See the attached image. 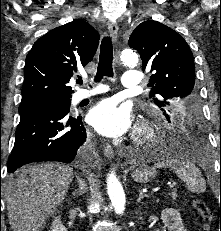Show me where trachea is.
<instances>
[{
    "instance_id": "trachea-1",
    "label": "trachea",
    "mask_w": 221,
    "mask_h": 231,
    "mask_svg": "<svg viewBox=\"0 0 221 231\" xmlns=\"http://www.w3.org/2000/svg\"><path fill=\"white\" fill-rule=\"evenodd\" d=\"M113 46L110 37H104L100 46L99 63L95 82H100L104 76L113 77ZM78 84H82V79L77 80Z\"/></svg>"
}]
</instances>
